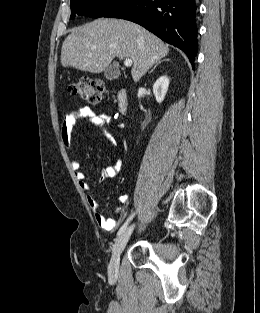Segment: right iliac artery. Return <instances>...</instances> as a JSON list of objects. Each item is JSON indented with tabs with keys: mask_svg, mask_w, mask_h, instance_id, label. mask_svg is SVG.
Masks as SVG:
<instances>
[{
	"mask_svg": "<svg viewBox=\"0 0 260 313\" xmlns=\"http://www.w3.org/2000/svg\"><path fill=\"white\" fill-rule=\"evenodd\" d=\"M135 213H133L128 220L123 224V226L119 229L117 235L119 236L120 234H122V232L127 228L128 223L133 219Z\"/></svg>",
	"mask_w": 260,
	"mask_h": 313,
	"instance_id": "right-iliac-artery-1",
	"label": "right iliac artery"
}]
</instances>
